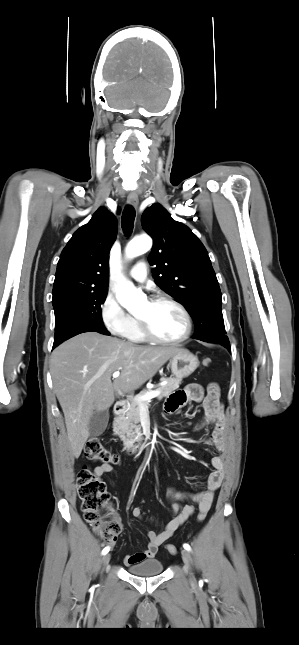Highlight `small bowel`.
<instances>
[{
	"mask_svg": "<svg viewBox=\"0 0 299 645\" xmlns=\"http://www.w3.org/2000/svg\"><path fill=\"white\" fill-rule=\"evenodd\" d=\"M192 402H201L204 410L203 418L197 428L214 425L211 436L206 440L207 445L213 446L219 452L218 455L210 459L213 470L207 477L205 489L201 492L188 493L172 487L168 489L167 496L172 503V518L162 531L151 530L148 532L149 542L146 550L125 556L124 563L127 566L156 556L159 547L193 514L194 506L186 503L187 500L196 503L199 511L207 513L212 505L215 492L221 485L227 440L219 387L216 384H210L205 392L201 385L197 383L189 384L183 390L175 392L168 398L165 403V411L168 414H172ZM112 470L111 464H100L95 468L94 472L97 476H102ZM140 502L143 504L145 500L141 499ZM113 514L119 521L121 520L119 514L114 510ZM132 515L137 519H142L143 511L141 507H134Z\"/></svg>",
	"mask_w": 299,
	"mask_h": 645,
	"instance_id": "obj_1",
	"label": "small bowel"
}]
</instances>
